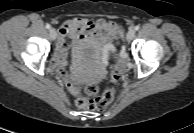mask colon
Instances as JSON below:
<instances>
[{
	"label": "colon",
	"mask_w": 194,
	"mask_h": 133,
	"mask_svg": "<svg viewBox=\"0 0 194 133\" xmlns=\"http://www.w3.org/2000/svg\"><path fill=\"white\" fill-rule=\"evenodd\" d=\"M110 78L113 83L118 82L120 78V70L118 66H113ZM84 92L85 95L77 99V106L83 109L94 111L104 110L115 96L114 89L108 88L100 93L97 87L94 85L86 86Z\"/></svg>",
	"instance_id": "colon-1"
}]
</instances>
